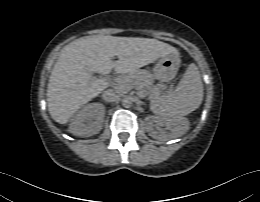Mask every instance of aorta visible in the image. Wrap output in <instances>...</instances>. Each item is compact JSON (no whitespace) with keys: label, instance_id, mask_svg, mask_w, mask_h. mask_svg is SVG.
<instances>
[{"label":"aorta","instance_id":"obj_1","mask_svg":"<svg viewBox=\"0 0 260 202\" xmlns=\"http://www.w3.org/2000/svg\"><path fill=\"white\" fill-rule=\"evenodd\" d=\"M122 105H123L125 108H129V107L132 105V98L129 97V96L123 98V100H122Z\"/></svg>","mask_w":260,"mask_h":202}]
</instances>
